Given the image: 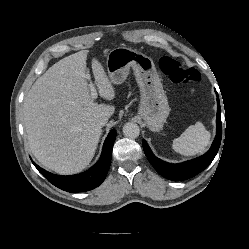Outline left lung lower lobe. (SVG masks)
<instances>
[{
	"instance_id": "left-lung-lower-lobe-1",
	"label": "left lung lower lobe",
	"mask_w": 249,
	"mask_h": 249,
	"mask_svg": "<svg viewBox=\"0 0 249 249\" xmlns=\"http://www.w3.org/2000/svg\"><path fill=\"white\" fill-rule=\"evenodd\" d=\"M216 95H217L216 137L213 141L211 148L204 155L183 163L171 164L157 158L150 150L147 142L143 140V149L148 160L154 166V168L159 172V174H161L163 177L173 181L186 180L202 172L213 161L220 147L221 137H222L221 108H220L218 94L216 93Z\"/></svg>"
}]
</instances>
